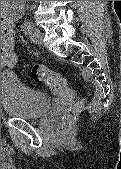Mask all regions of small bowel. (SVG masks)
<instances>
[{"label": "small bowel", "mask_w": 121, "mask_h": 169, "mask_svg": "<svg viewBox=\"0 0 121 169\" xmlns=\"http://www.w3.org/2000/svg\"><path fill=\"white\" fill-rule=\"evenodd\" d=\"M23 10V4L21 1H6V4L2 8L1 27H2V44L9 42L15 44L14 40V24L20 18ZM9 33V37H7ZM2 65H6L1 57Z\"/></svg>", "instance_id": "small-bowel-1"}]
</instances>
